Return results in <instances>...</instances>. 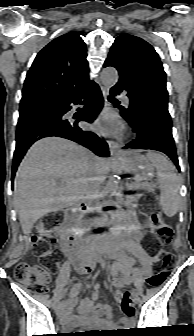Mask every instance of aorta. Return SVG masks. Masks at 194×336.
I'll return each instance as SVG.
<instances>
[{
  "label": "aorta",
  "mask_w": 194,
  "mask_h": 336,
  "mask_svg": "<svg viewBox=\"0 0 194 336\" xmlns=\"http://www.w3.org/2000/svg\"><path fill=\"white\" fill-rule=\"evenodd\" d=\"M102 84L106 87H112L118 81V72L114 67H106L101 72ZM119 182L112 178L108 181L105 191L106 198L103 202L105 206H116L118 204L116 197L118 196Z\"/></svg>",
  "instance_id": "aorta-1"
}]
</instances>
